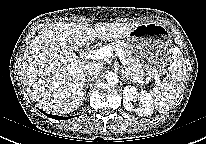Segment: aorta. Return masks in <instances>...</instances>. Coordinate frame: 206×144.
I'll use <instances>...</instances> for the list:
<instances>
[{
    "label": "aorta",
    "mask_w": 206,
    "mask_h": 144,
    "mask_svg": "<svg viewBox=\"0 0 206 144\" xmlns=\"http://www.w3.org/2000/svg\"><path fill=\"white\" fill-rule=\"evenodd\" d=\"M106 78V81L109 83V84H116L118 83V75L114 72H108L105 76Z\"/></svg>",
    "instance_id": "aorta-1"
}]
</instances>
